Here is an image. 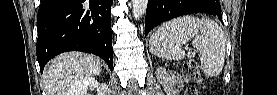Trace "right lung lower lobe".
<instances>
[{
    "label": "right lung lower lobe",
    "mask_w": 277,
    "mask_h": 95,
    "mask_svg": "<svg viewBox=\"0 0 277 95\" xmlns=\"http://www.w3.org/2000/svg\"><path fill=\"white\" fill-rule=\"evenodd\" d=\"M111 5L112 0H41L36 46L41 73L66 51L98 55L112 71Z\"/></svg>",
    "instance_id": "98d812e1"
}]
</instances>
